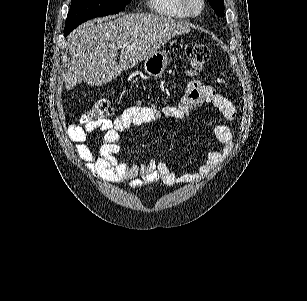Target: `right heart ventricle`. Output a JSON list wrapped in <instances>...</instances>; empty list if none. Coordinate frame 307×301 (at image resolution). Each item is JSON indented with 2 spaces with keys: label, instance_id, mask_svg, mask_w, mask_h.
<instances>
[{
  "label": "right heart ventricle",
  "instance_id": "obj_1",
  "mask_svg": "<svg viewBox=\"0 0 307 301\" xmlns=\"http://www.w3.org/2000/svg\"><path fill=\"white\" fill-rule=\"evenodd\" d=\"M152 12L158 13V17H183L184 11L178 9V0H150Z\"/></svg>",
  "mask_w": 307,
  "mask_h": 301
}]
</instances>
